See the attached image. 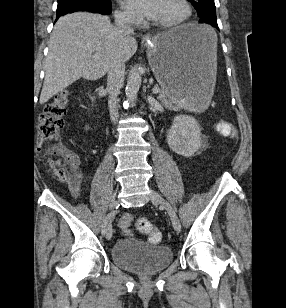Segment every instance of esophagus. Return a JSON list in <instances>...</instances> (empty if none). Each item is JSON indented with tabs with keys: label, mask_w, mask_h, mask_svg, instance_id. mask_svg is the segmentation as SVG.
Here are the masks:
<instances>
[{
	"label": "esophagus",
	"mask_w": 286,
	"mask_h": 308,
	"mask_svg": "<svg viewBox=\"0 0 286 308\" xmlns=\"http://www.w3.org/2000/svg\"><path fill=\"white\" fill-rule=\"evenodd\" d=\"M149 38L148 36H145V39Z\"/></svg>",
	"instance_id": "34e87169"
}]
</instances>
